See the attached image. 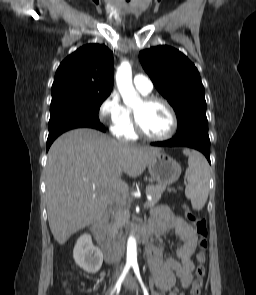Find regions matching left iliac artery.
I'll return each instance as SVG.
<instances>
[{"mask_svg": "<svg viewBox=\"0 0 256 295\" xmlns=\"http://www.w3.org/2000/svg\"><path fill=\"white\" fill-rule=\"evenodd\" d=\"M132 267H133V270H134V272H135V275H136L138 281H139L140 284H141V287H142V289H143V293H144V295H149L148 290H147V288L145 287V285H144V283H143V281H142V278H141V275H140V271H139L138 263H137V262H133V263H132Z\"/></svg>", "mask_w": 256, "mask_h": 295, "instance_id": "left-iliac-artery-1", "label": "left iliac artery"}]
</instances>
